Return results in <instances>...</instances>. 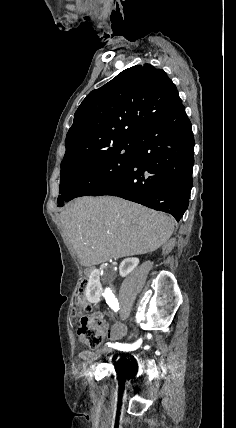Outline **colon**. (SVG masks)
<instances>
[{
  "label": "colon",
  "instance_id": "5ec220e1",
  "mask_svg": "<svg viewBox=\"0 0 236 428\" xmlns=\"http://www.w3.org/2000/svg\"><path fill=\"white\" fill-rule=\"evenodd\" d=\"M87 288V280H83L77 290V301L74 316L79 317L76 337L80 344L89 348H98L103 341L106 330L102 315L93 310L87 302L85 292ZM83 311L89 312L87 315H82Z\"/></svg>",
  "mask_w": 236,
  "mask_h": 428
}]
</instances>
